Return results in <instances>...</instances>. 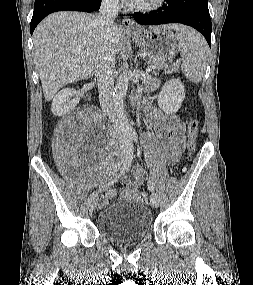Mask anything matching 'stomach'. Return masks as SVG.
Listing matches in <instances>:
<instances>
[{
	"mask_svg": "<svg viewBox=\"0 0 253 285\" xmlns=\"http://www.w3.org/2000/svg\"><path fill=\"white\" fill-rule=\"evenodd\" d=\"M131 36L152 61L165 63L172 60L178 52L175 36L165 26H156L149 30L140 29Z\"/></svg>",
	"mask_w": 253,
	"mask_h": 285,
	"instance_id": "obj_1",
	"label": "stomach"
}]
</instances>
